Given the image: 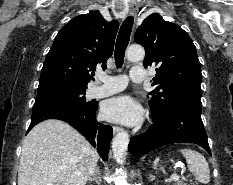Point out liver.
<instances>
[{
	"label": "liver",
	"mask_w": 233,
	"mask_h": 185,
	"mask_svg": "<svg viewBox=\"0 0 233 185\" xmlns=\"http://www.w3.org/2000/svg\"><path fill=\"white\" fill-rule=\"evenodd\" d=\"M98 160L96 149L69 124L46 120L23 141L18 185H86Z\"/></svg>",
	"instance_id": "liver-1"
}]
</instances>
